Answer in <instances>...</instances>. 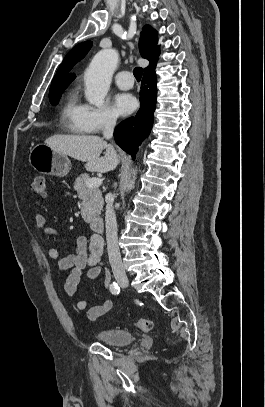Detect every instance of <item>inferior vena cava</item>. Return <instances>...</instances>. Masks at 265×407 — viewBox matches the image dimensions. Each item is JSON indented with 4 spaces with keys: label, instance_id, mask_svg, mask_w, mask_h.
<instances>
[{
    "label": "inferior vena cava",
    "instance_id": "1",
    "mask_svg": "<svg viewBox=\"0 0 265 407\" xmlns=\"http://www.w3.org/2000/svg\"><path fill=\"white\" fill-rule=\"evenodd\" d=\"M116 125V117L112 114H107L104 120L103 137L110 139L113 136V131ZM114 198L109 197L106 204L105 222H106V240L109 262L115 278H125L126 273L122 264L120 250L117 237V222L113 208Z\"/></svg>",
    "mask_w": 265,
    "mask_h": 407
}]
</instances>
